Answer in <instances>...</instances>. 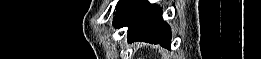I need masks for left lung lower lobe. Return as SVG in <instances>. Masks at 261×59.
Instances as JSON below:
<instances>
[{"label":"left lung lower lobe","instance_id":"left-lung-lower-lobe-1","mask_svg":"<svg viewBox=\"0 0 261 59\" xmlns=\"http://www.w3.org/2000/svg\"><path fill=\"white\" fill-rule=\"evenodd\" d=\"M114 25L128 26V41H144L170 49L171 31L156 4L146 0H122L116 7Z\"/></svg>","mask_w":261,"mask_h":59}]
</instances>
